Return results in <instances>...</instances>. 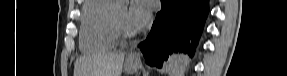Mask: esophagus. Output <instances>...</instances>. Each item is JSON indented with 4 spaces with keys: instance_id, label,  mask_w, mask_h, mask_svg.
I'll use <instances>...</instances> for the list:
<instances>
[{
    "instance_id": "esophagus-1",
    "label": "esophagus",
    "mask_w": 287,
    "mask_h": 76,
    "mask_svg": "<svg viewBox=\"0 0 287 76\" xmlns=\"http://www.w3.org/2000/svg\"><path fill=\"white\" fill-rule=\"evenodd\" d=\"M130 58L135 59V60H140V55L138 53H132L130 54Z\"/></svg>"
}]
</instances>
